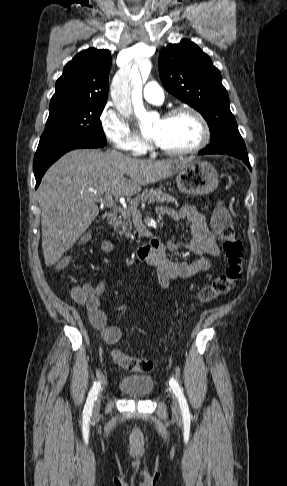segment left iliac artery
I'll return each mask as SVG.
<instances>
[{
	"label": "left iliac artery",
	"mask_w": 287,
	"mask_h": 486,
	"mask_svg": "<svg viewBox=\"0 0 287 486\" xmlns=\"http://www.w3.org/2000/svg\"><path fill=\"white\" fill-rule=\"evenodd\" d=\"M169 384L171 386V389L173 390V393L175 394V396L179 400L180 408H181L183 417H185V418L190 417L189 407H188L186 398L183 394V391H182L180 385L178 384V382L174 378L170 379Z\"/></svg>",
	"instance_id": "44dca946"
}]
</instances>
